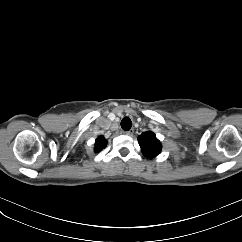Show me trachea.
<instances>
[{"mask_svg":"<svg viewBox=\"0 0 242 242\" xmlns=\"http://www.w3.org/2000/svg\"><path fill=\"white\" fill-rule=\"evenodd\" d=\"M121 127L125 131L130 130L132 127V121L128 117L123 118L121 121Z\"/></svg>","mask_w":242,"mask_h":242,"instance_id":"obj_1","label":"trachea"}]
</instances>
